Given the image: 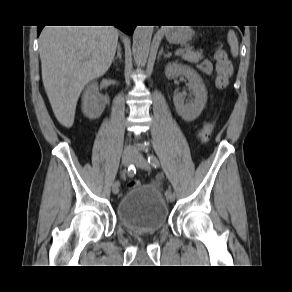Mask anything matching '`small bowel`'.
<instances>
[{
	"instance_id": "1",
	"label": "small bowel",
	"mask_w": 292,
	"mask_h": 292,
	"mask_svg": "<svg viewBox=\"0 0 292 292\" xmlns=\"http://www.w3.org/2000/svg\"><path fill=\"white\" fill-rule=\"evenodd\" d=\"M199 69L207 74L210 75L212 73L213 70V66L212 63L209 60H203L200 64H199Z\"/></svg>"
}]
</instances>
